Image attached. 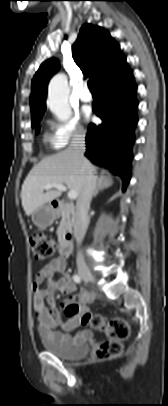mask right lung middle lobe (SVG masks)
I'll return each instance as SVG.
<instances>
[{"mask_svg":"<svg viewBox=\"0 0 168 406\" xmlns=\"http://www.w3.org/2000/svg\"><path fill=\"white\" fill-rule=\"evenodd\" d=\"M39 122H40V121H37V122L32 123V127H33V128L36 127ZM38 131H39V127L36 129V134L38 133Z\"/></svg>","mask_w":168,"mask_h":406,"instance_id":"1","label":"right lung middle lobe"}]
</instances>
